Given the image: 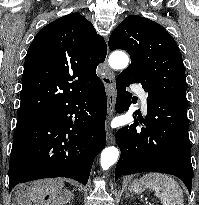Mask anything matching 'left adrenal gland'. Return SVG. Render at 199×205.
<instances>
[{
    "instance_id": "obj_1",
    "label": "left adrenal gland",
    "mask_w": 199,
    "mask_h": 205,
    "mask_svg": "<svg viewBox=\"0 0 199 205\" xmlns=\"http://www.w3.org/2000/svg\"><path fill=\"white\" fill-rule=\"evenodd\" d=\"M132 196L129 192H126V197Z\"/></svg>"
}]
</instances>
